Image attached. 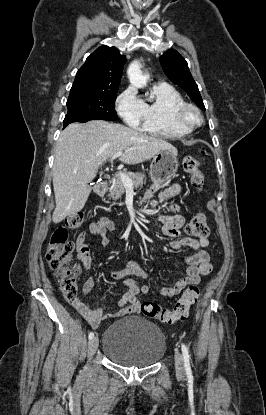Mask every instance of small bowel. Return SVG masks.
Here are the masks:
<instances>
[{
  "label": "small bowel",
  "mask_w": 266,
  "mask_h": 415,
  "mask_svg": "<svg viewBox=\"0 0 266 415\" xmlns=\"http://www.w3.org/2000/svg\"><path fill=\"white\" fill-rule=\"evenodd\" d=\"M181 185L174 183L166 188L160 183L154 184L145 194V200H149L153 209L157 208L159 201H165L178 196L181 193ZM171 214H158L159 228L163 234L174 238L170 243L171 247L179 250L183 247H189L196 250V253L184 258L186 264L185 275L176 280L171 286H165L161 289V294L166 297H173L178 295L185 287L192 284H197L200 277L207 275L212 271V263L209 253L206 251L208 240L194 239L190 237L179 238L180 230L184 225V217L178 212L177 205L169 206ZM114 229V224L108 219H100L93 222L89 227V232L93 235L101 237V243L104 247L109 245V239L106 237L108 231ZM86 232H82L75 241L76 259L82 263L86 269L92 267V257L90 249L85 242ZM114 279L123 280L126 287L122 300L119 303V309L115 312L105 313L103 307L94 308L84 296L91 290L94 285V279L89 278L84 283L83 295L79 296L75 301L71 302L73 307L87 320L93 328H97L105 319H114L122 316L135 314L140 312L141 303L138 294L142 292L147 294L149 286L143 285L141 288L137 285L132 276L140 277L147 280L148 275L144 269L134 261H128L125 268L122 270H113L111 273ZM104 294L100 299L103 301Z\"/></svg>",
  "instance_id": "obj_1"
}]
</instances>
